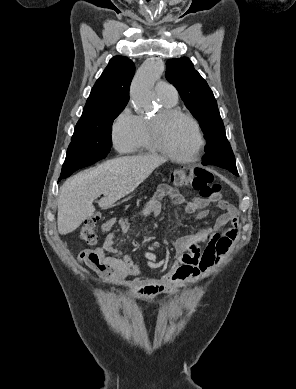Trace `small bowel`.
I'll return each instance as SVG.
<instances>
[{
	"label": "small bowel",
	"instance_id": "1",
	"mask_svg": "<svg viewBox=\"0 0 296 389\" xmlns=\"http://www.w3.org/2000/svg\"><path fill=\"white\" fill-rule=\"evenodd\" d=\"M164 197H168L174 206L183 205L186 213L198 212L201 217L206 215L205 209L210 202L200 197L186 202L178 190L161 185L155 196L147 201L143 211L154 216L158 215L161 211L160 200ZM215 201L223 213L217 218L214 226L172 242L176 256L169 270L161 281L149 282L138 287L135 293L139 298L151 299L160 294L176 293L181 287L206 274L228 252L238 236V211L226 200L217 198ZM136 215L134 214L132 218ZM128 222L129 220L123 222L108 220L103 225V231L108 233L119 226L118 231L110 233L101 247L85 250L80 255L84 264L111 283L118 282L137 271L130 258L122 255L114 246L116 238L127 231Z\"/></svg>",
	"mask_w": 296,
	"mask_h": 389
}]
</instances>
